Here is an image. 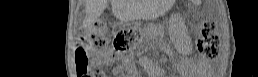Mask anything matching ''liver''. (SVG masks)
I'll list each match as a JSON object with an SVG mask.
<instances>
[{"label":"liver","mask_w":258,"mask_h":77,"mask_svg":"<svg viewBox=\"0 0 258 77\" xmlns=\"http://www.w3.org/2000/svg\"><path fill=\"white\" fill-rule=\"evenodd\" d=\"M108 0H86L85 10L86 18L85 24L90 25L94 23L104 12L107 7ZM113 14L121 21L130 20L133 16V7L129 1L125 0H111Z\"/></svg>","instance_id":"liver-1"}]
</instances>
